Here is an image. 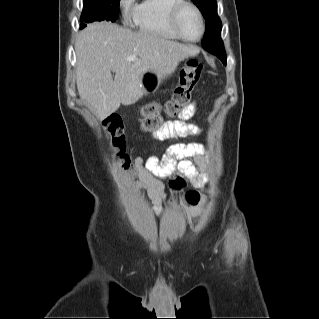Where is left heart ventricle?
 I'll list each match as a JSON object with an SVG mask.
<instances>
[{"label": "left heart ventricle", "instance_id": "obj_1", "mask_svg": "<svg viewBox=\"0 0 319 319\" xmlns=\"http://www.w3.org/2000/svg\"><path fill=\"white\" fill-rule=\"evenodd\" d=\"M178 26L181 33L189 38L194 39L198 37L200 33V23L198 17L193 9L185 8L178 19Z\"/></svg>", "mask_w": 319, "mask_h": 319}]
</instances>
